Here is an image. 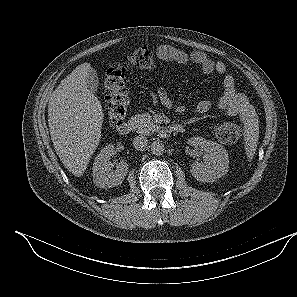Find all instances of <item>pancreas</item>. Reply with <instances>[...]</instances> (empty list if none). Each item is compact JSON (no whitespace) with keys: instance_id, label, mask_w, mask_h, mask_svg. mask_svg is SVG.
<instances>
[{"instance_id":"cf45deb5","label":"pancreas","mask_w":297,"mask_h":297,"mask_svg":"<svg viewBox=\"0 0 297 297\" xmlns=\"http://www.w3.org/2000/svg\"><path fill=\"white\" fill-rule=\"evenodd\" d=\"M140 134H152L159 129L148 113L138 114L130 120Z\"/></svg>"}]
</instances>
